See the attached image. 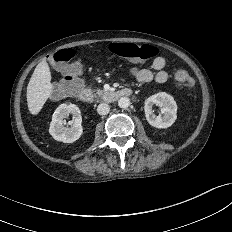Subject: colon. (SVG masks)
<instances>
[{
	"mask_svg": "<svg viewBox=\"0 0 232 232\" xmlns=\"http://www.w3.org/2000/svg\"><path fill=\"white\" fill-rule=\"evenodd\" d=\"M108 50L110 53L133 62H143L157 55L156 47L148 44L112 43ZM74 52L71 49H61L49 56V61L58 66L62 72V79L55 86L53 94L64 97L77 93L81 86V66L78 61H72ZM175 83L179 88L189 89L193 86V78L189 72L178 66L174 72Z\"/></svg>",
	"mask_w": 232,
	"mask_h": 232,
	"instance_id": "obj_1",
	"label": "colon"
}]
</instances>
